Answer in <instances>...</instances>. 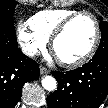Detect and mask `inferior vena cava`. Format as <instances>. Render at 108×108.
<instances>
[{"label": "inferior vena cava", "instance_id": "1", "mask_svg": "<svg viewBox=\"0 0 108 108\" xmlns=\"http://www.w3.org/2000/svg\"><path fill=\"white\" fill-rule=\"evenodd\" d=\"M21 49L22 52L27 56H34L37 52V49L35 47L27 44L23 45Z\"/></svg>", "mask_w": 108, "mask_h": 108}]
</instances>
